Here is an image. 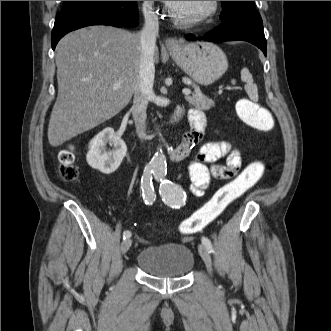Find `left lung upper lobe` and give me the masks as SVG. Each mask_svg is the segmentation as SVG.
Listing matches in <instances>:
<instances>
[{
	"label": "left lung upper lobe",
	"mask_w": 331,
	"mask_h": 331,
	"mask_svg": "<svg viewBox=\"0 0 331 331\" xmlns=\"http://www.w3.org/2000/svg\"><path fill=\"white\" fill-rule=\"evenodd\" d=\"M223 13L220 16L222 21L241 16L258 14L254 1H221Z\"/></svg>",
	"instance_id": "left-lung-upper-lobe-1"
}]
</instances>
